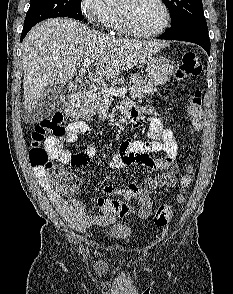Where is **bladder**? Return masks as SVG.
Returning <instances> with one entry per match:
<instances>
[{"instance_id": "1", "label": "bladder", "mask_w": 233, "mask_h": 294, "mask_svg": "<svg viewBox=\"0 0 233 294\" xmlns=\"http://www.w3.org/2000/svg\"><path fill=\"white\" fill-rule=\"evenodd\" d=\"M106 234L108 237H110L112 239L128 240L133 234V229L127 223L117 222V223L110 225L106 229Z\"/></svg>"}]
</instances>
